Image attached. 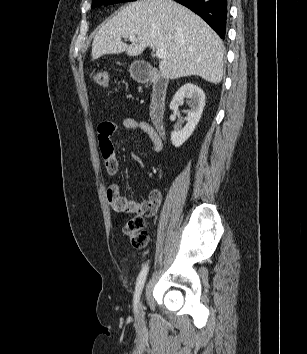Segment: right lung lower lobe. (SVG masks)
Masks as SVG:
<instances>
[{
    "instance_id": "1",
    "label": "right lung lower lobe",
    "mask_w": 307,
    "mask_h": 354,
    "mask_svg": "<svg viewBox=\"0 0 307 354\" xmlns=\"http://www.w3.org/2000/svg\"><path fill=\"white\" fill-rule=\"evenodd\" d=\"M202 17L224 39L228 17V0H175Z\"/></svg>"
}]
</instances>
